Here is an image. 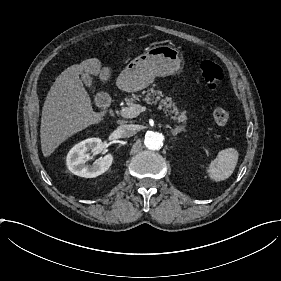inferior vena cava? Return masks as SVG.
<instances>
[{
	"label": "inferior vena cava",
	"instance_id": "inferior-vena-cava-1",
	"mask_svg": "<svg viewBox=\"0 0 281 281\" xmlns=\"http://www.w3.org/2000/svg\"><path fill=\"white\" fill-rule=\"evenodd\" d=\"M137 132V127L133 124L121 125L117 128L116 133L123 138L131 137Z\"/></svg>",
	"mask_w": 281,
	"mask_h": 281
}]
</instances>
